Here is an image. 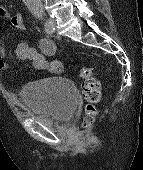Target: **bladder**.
<instances>
[{
    "label": "bladder",
    "mask_w": 143,
    "mask_h": 170,
    "mask_svg": "<svg viewBox=\"0 0 143 170\" xmlns=\"http://www.w3.org/2000/svg\"><path fill=\"white\" fill-rule=\"evenodd\" d=\"M26 110L35 117L63 122L78 105L75 85L61 76H47L24 84L18 90Z\"/></svg>",
    "instance_id": "1"
}]
</instances>
